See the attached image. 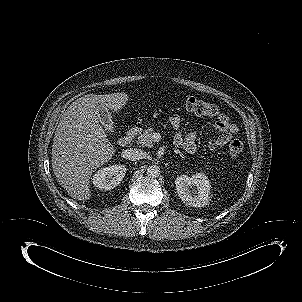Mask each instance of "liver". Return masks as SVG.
I'll return each mask as SVG.
<instances>
[{"label": "liver", "instance_id": "6515ba94", "mask_svg": "<svg viewBox=\"0 0 302 302\" xmlns=\"http://www.w3.org/2000/svg\"><path fill=\"white\" fill-rule=\"evenodd\" d=\"M127 100L125 93L87 94L63 114L53 139L51 163L55 177L72 198H90L92 174L115 153L100 124V108L116 112Z\"/></svg>", "mask_w": 302, "mask_h": 302}]
</instances>
